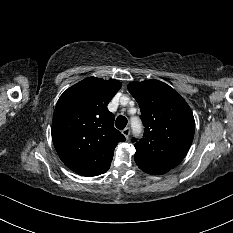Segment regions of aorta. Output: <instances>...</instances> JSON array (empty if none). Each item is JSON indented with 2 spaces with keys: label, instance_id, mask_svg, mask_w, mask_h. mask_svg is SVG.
I'll use <instances>...</instances> for the list:
<instances>
[{
  "label": "aorta",
  "instance_id": "obj_1",
  "mask_svg": "<svg viewBox=\"0 0 233 233\" xmlns=\"http://www.w3.org/2000/svg\"><path fill=\"white\" fill-rule=\"evenodd\" d=\"M131 127H132L134 132H136V133L139 132L141 129V124H140L139 120L133 119L131 122Z\"/></svg>",
  "mask_w": 233,
  "mask_h": 233
}]
</instances>
